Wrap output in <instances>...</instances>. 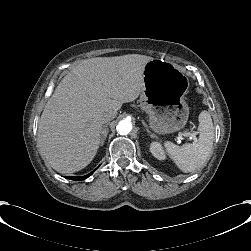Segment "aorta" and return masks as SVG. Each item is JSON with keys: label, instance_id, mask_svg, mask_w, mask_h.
Returning <instances> with one entry per match:
<instances>
[{"label": "aorta", "instance_id": "762f6f07", "mask_svg": "<svg viewBox=\"0 0 251 251\" xmlns=\"http://www.w3.org/2000/svg\"><path fill=\"white\" fill-rule=\"evenodd\" d=\"M132 129V123L128 120H121L117 125V130L122 135L128 134Z\"/></svg>", "mask_w": 251, "mask_h": 251}]
</instances>
